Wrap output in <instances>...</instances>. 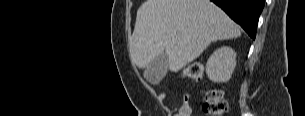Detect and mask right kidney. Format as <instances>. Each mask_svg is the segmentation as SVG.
Instances as JSON below:
<instances>
[{"label":"right kidney","instance_id":"ca27d5eb","mask_svg":"<svg viewBox=\"0 0 305 116\" xmlns=\"http://www.w3.org/2000/svg\"><path fill=\"white\" fill-rule=\"evenodd\" d=\"M236 66V53L231 47L217 49L208 59L206 73L214 82H227L230 80Z\"/></svg>","mask_w":305,"mask_h":116}]
</instances>
